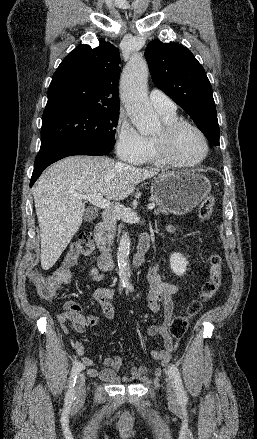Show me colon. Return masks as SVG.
<instances>
[{
	"label": "colon",
	"instance_id": "colon-1",
	"mask_svg": "<svg viewBox=\"0 0 257 439\" xmlns=\"http://www.w3.org/2000/svg\"><path fill=\"white\" fill-rule=\"evenodd\" d=\"M215 204L213 196L206 197L200 204L199 216L203 220L211 217ZM94 251L92 236L82 233L66 254L62 265L51 276L34 274L32 282L39 296L53 297L57 290L68 283L71 278V268L80 258L91 255ZM222 281V257L219 253H212L209 257V277L201 288L198 299L193 300L187 308L185 315L175 316L169 324L168 335L171 338H181L188 328L190 320L196 316L202 305L210 300L218 291Z\"/></svg>",
	"mask_w": 257,
	"mask_h": 439
}]
</instances>
